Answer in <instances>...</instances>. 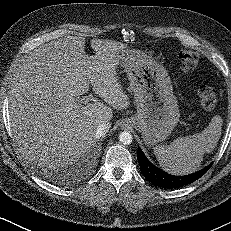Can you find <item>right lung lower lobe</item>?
<instances>
[{
	"label": "right lung lower lobe",
	"mask_w": 231,
	"mask_h": 231,
	"mask_svg": "<svg viewBox=\"0 0 231 231\" xmlns=\"http://www.w3.org/2000/svg\"><path fill=\"white\" fill-rule=\"evenodd\" d=\"M62 178H64L63 175L62 176L60 175V176L56 177L57 181H62L63 180Z\"/></svg>",
	"instance_id": "obj_1"
}]
</instances>
